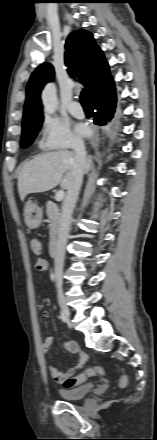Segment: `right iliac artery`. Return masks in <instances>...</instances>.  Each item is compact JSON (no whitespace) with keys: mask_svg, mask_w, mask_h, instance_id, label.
Returning a JSON list of instances; mask_svg holds the SVG:
<instances>
[{"mask_svg":"<svg viewBox=\"0 0 157 440\" xmlns=\"http://www.w3.org/2000/svg\"><path fill=\"white\" fill-rule=\"evenodd\" d=\"M60 318L63 322H66V317L64 316L63 312H61Z\"/></svg>","mask_w":157,"mask_h":440,"instance_id":"right-iliac-artery-1","label":"right iliac artery"}]
</instances>
